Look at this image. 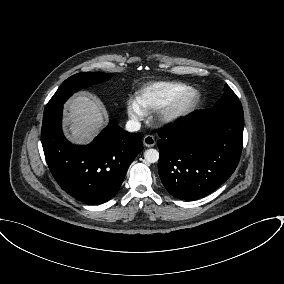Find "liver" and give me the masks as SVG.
I'll list each match as a JSON object with an SVG mask.
<instances>
[{
    "label": "liver",
    "instance_id": "liver-1",
    "mask_svg": "<svg viewBox=\"0 0 284 284\" xmlns=\"http://www.w3.org/2000/svg\"><path fill=\"white\" fill-rule=\"evenodd\" d=\"M65 122L69 139L77 144L91 141L105 125L100 105L84 95H77L67 102Z\"/></svg>",
    "mask_w": 284,
    "mask_h": 284
}]
</instances>
